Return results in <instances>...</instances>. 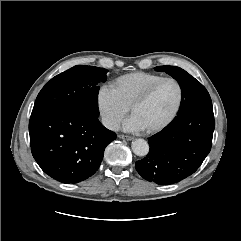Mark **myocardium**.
<instances>
[{
	"instance_id": "obj_1",
	"label": "myocardium",
	"mask_w": 241,
	"mask_h": 241,
	"mask_svg": "<svg viewBox=\"0 0 241 241\" xmlns=\"http://www.w3.org/2000/svg\"><path fill=\"white\" fill-rule=\"evenodd\" d=\"M173 82L177 89H178V99H177V103L173 109V111L171 112V114L160 124H158L157 126H154L152 128H148L146 129L148 133H157L161 130H163L164 128H166L168 125H170L174 119L176 118V116L178 115L182 103H183V87L181 85V83L174 77H162L161 79L155 81L154 83H152L148 88H146L131 104L130 106V111L133 114V111L135 110V108H137L138 106L142 105L143 103H145L150 97L151 95L154 93V91L164 82Z\"/></svg>"
}]
</instances>
